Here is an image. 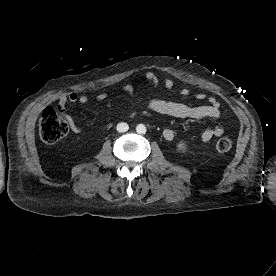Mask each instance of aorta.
Segmentation results:
<instances>
[{"mask_svg":"<svg viewBox=\"0 0 276 276\" xmlns=\"http://www.w3.org/2000/svg\"><path fill=\"white\" fill-rule=\"evenodd\" d=\"M146 131H147V129H146V126H145V125H143V124L137 125V127H136V132H137L138 134H145Z\"/></svg>","mask_w":276,"mask_h":276,"instance_id":"aorta-1","label":"aorta"}]
</instances>
